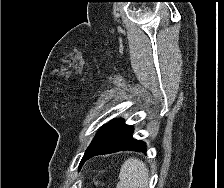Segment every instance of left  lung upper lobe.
Wrapping results in <instances>:
<instances>
[{
	"instance_id": "5c2ea615",
	"label": "left lung upper lobe",
	"mask_w": 224,
	"mask_h": 188,
	"mask_svg": "<svg viewBox=\"0 0 224 188\" xmlns=\"http://www.w3.org/2000/svg\"><path fill=\"white\" fill-rule=\"evenodd\" d=\"M116 121L113 120L108 124L102 126V128L99 130L98 134L95 136V138L93 139V141L91 142L90 146L88 147L85 153L92 150L98 144V142L102 139V137L113 127Z\"/></svg>"
}]
</instances>
